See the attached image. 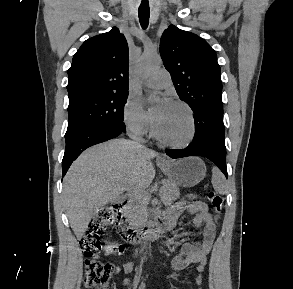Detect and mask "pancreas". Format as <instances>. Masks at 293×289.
Masks as SVG:
<instances>
[{
	"instance_id": "obj_1",
	"label": "pancreas",
	"mask_w": 293,
	"mask_h": 289,
	"mask_svg": "<svg viewBox=\"0 0 293 289\" xmlns=\"http://www.w3.org/2000/svg\"><path fill=\"white\" fill-rule=\"evenodd\" d=\"M161 198L164 202L173 201L179 198V188L170 181H163V187L160 191ZM189 198H196V196L190 194ZM148 197L145 194H137L127 209V215L131 221L140 224L147 218L146 205L148 203Z\"/></svg>"
}]
</instances>
